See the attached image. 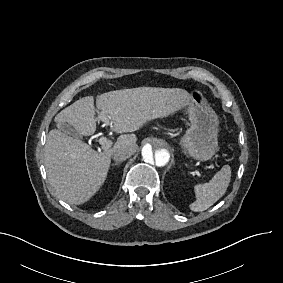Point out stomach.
I'll list each match as a JSON object with an SVG mask.
<instances>
[{
	"instance_id": "1",
	"label": "stomach",
	"mask_w": 283,
	"mask_h": 283,
	"mask_svg": "<svg viewBox=\"0 0 283 283\" xmlns=\"http://www.w3.org/2000/svg\"><path fill=\"white\" fill-rule=\"evenodd\" d=\"M190 128L179 138V146L192 159L208 161L218 152V118L205 98L195 92L188 106Z\"/></svg>"
}]
</instances>
